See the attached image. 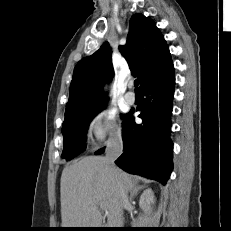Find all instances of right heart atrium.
I'll return each mask as SVG.
<instances>
[{
  "instance_id": "obj_1",
  "label": "right heart atrium",
  "mask_w": 231,
  "mask_h": 231,
  "mask_svg": "<svg viewBox=\"0 0 231 231\" xmlns=\"http://www.w3.org/2000/svg\"><path fill=\"white\" fill-rule=\"evenodd\" d=\"M86 135L94 146H99L108 141H118L121 132L114 112L109 109H100L88 120Z\"/></svg>"
}]
</instances>
